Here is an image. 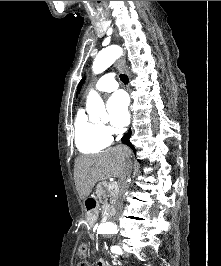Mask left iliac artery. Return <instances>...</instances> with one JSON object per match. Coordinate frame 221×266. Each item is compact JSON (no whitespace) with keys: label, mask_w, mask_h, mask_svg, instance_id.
Segmentation results:
<instances>
[{"label":"left iliac artery","mask_w":221,"mask_h":266,"mask_svg":"<svg viewBox=\"0 0 221 266\" xmlns=\"http://www.w3.org/2000/svg\"><path fill=\"white\" fill-rule=\"evenodd\" d=\"M111 252L117 253V254H122V250L119 246L113 245L111 246Z\"/></svg>","instance_id":"obj_1"}]
</instances>
